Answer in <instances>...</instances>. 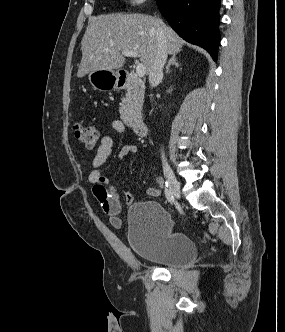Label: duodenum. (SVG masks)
<instances>
[{
    "instance_id": "obj_1",
    "label": "duodenum",
    "mask_w": 285,
    "mask_h": 332,
    "mask_svg": "<svg viewBox=\"0 0 285 332\" xmlns=\"http://www.w3.org/2000/svg\"><path fill=\"white\" fill-rule=\"evenodd\" d=\"M133 76L128 72H123L119 75L118 86L121 89H126L132 86ZM132 129L138 136L144 137L148 134V126L144 122H135L132 124Z\"/></svg>"
}]
</instances>
